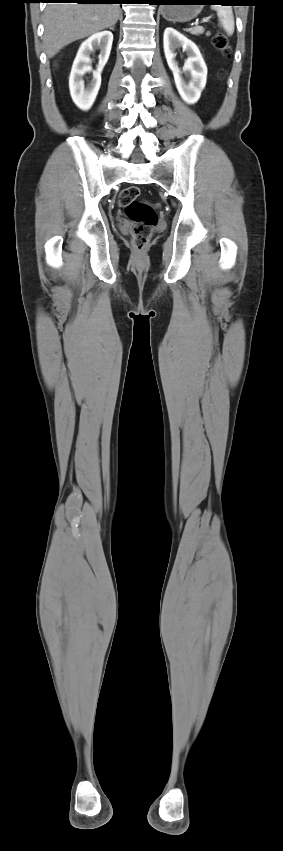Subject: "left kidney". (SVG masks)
Listing matches in <instances>:
<instances>
[{
  "mask_svg": "<svg viewBox=\"0 0 283 851\" xmlns=\"http://www.w3.org/2000/svg\"><path fill=\"white\" fill-rule=\"evenodd\" d=\"M163 45L168 66L173 73L176 88L181 98L188 104L196 103L207 80V66L198 47L171 27L164 31ZM178 48H182L188 56L182 70L176 61L175 50Z\"/></svg>",
  "mask_w": 283,
  "mask_h": 851,
  "instance_id": "5707ae66",
  "label": "left kidney"
}]
</instances>
